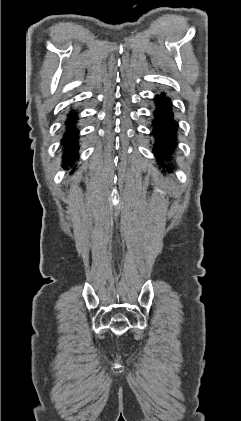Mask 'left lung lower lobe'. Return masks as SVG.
I'll return each instance as SVG.
<instances>
[{"mask_svg":"<svg viewBox=\"0 0 241 421\" xmlns=\"http://www.w3.org/2000/svg\"><path fill=\"white\" fill-rule=\"evenodd\" d=\"M154 101L156 108L153 112L154 119L151 132L155 139L153 152L156 154L159 164L165 162L166 164H162V166L170 167L173 165L172 154L177 140L178 123L174 119L172 103L164 92L156 95Z\"/></svg>","mask_w":241,"mask_h":421,"instance_id":"left-lung-lower-lobe-1","label":"left lung lower lobe"}]
</instances>
